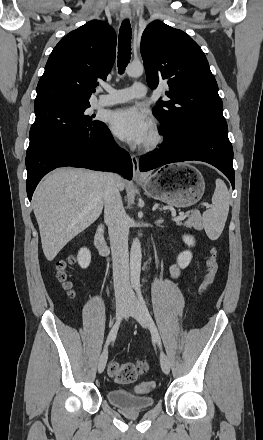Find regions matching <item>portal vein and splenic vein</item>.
<instances>
[{
	"instance_id": "18ae733b",
	"label": "portal vein and splenic vein",
	"mask_w": 263,
	"mask_h": 440,
	"mask_svg": "<svg viewBox=\"0 0 263 440\" xmlns=\"http://www.w3.org/2000/svg\"><path fill=\"white\" fill-rule=\"evenodd\" d=\"M203 205L206 206L207 208L210 207V205L208 203H204ZM187 215H188V213H181L177 217L173 218L172 220L175 222H179V221L184 220L187 217Z\"/></svg>"
}]
</instances>
